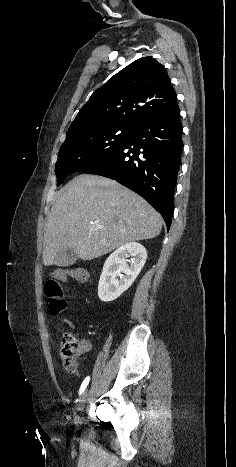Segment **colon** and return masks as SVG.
I'll return each instance as SVG.
<instances>
[{
  "label": "colon",
  "instance_id": "obj_1",
  "mask_svg": "<svg viewBox=\"0 0 236 467\" xmlns=\"http://www.w3.org/2000/svg\"><path fill=\"white\" fill-rule=\"evenodd\" d=\"M70 278L83 283L88 278V271L83 267H59L53 271L52 279L45 284L44 291L51 315H58L66 308L60 281ZM59 349L64 368L69 372L75 371L84 352L85 341L77 339L73 334L64 333L60 338Z\"/></svg>",
  "mask_w": 236,
  "mask_h": 467
}]
</instances>
